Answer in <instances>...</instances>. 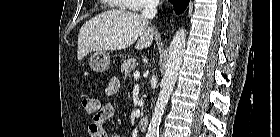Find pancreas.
<instances>
[{"label": "pancreas", "mask_w": 280, "mask_h": 137, "mask_svg": "<svg viewBox=\"0 0 280 137\" xmlns=\"http://www.w3.org/2000/svg\"><path fill=\"white\" fill-rule=\"evenodd\" d=\"M137 67H138V63L136 62V59L131 58L124 61V63H122L121 71L124 73L125 77H130L131 72L135 71Z\"/></svg>", "instance_id": "obj_1"}]
</instances>
